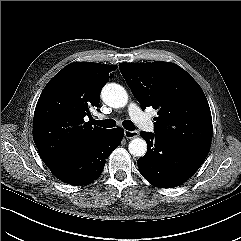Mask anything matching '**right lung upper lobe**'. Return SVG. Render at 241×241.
Returning <instances> with one entry per match:
<instances>
[{"label": "right lung upper lobe", "instance_id": "right-lung-upper-lobe-1", "mask_svg": "<svg viewBox=\"0 0 241 241\" xmlns=\"http://www.w3.org/2000/svg\"><path fill=\"white\" fill-rule=\"evenodd\" d=\"M116 66L75 62L45 86L35 108L33 138L43 161L83 148L107 130L84 122Z\"/></svg>", "mask_w": 241, "mask_h": 241}]
</instances>
